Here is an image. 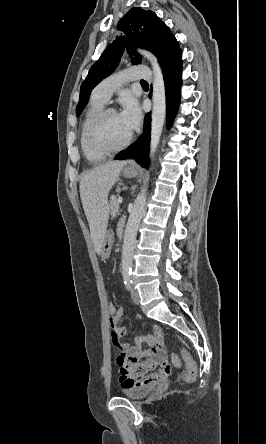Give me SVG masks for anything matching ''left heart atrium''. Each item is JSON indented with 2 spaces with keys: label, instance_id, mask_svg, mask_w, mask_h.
<instances>
[{
  "label": "left heart atrium",
  "instance_id": "obj_1",
  "mask_svg": "<svg viewBox=\"0 0 266 444\" xmlns=\"http://www.w3.org/2000/svg\"><path fill=\"white\" fill-rule=\"evenodd\" d=\"M120 116L130 131L136 129L141 120L140 110L134 101H127Z\"/></svg>",
  "mask_w": 266,
  "mask_h": 444
}]
</instances>
